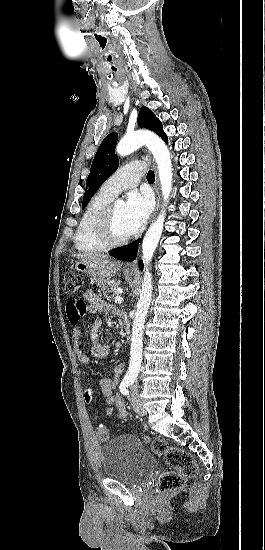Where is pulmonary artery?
<instances>
[{
  "label": "pulmonary artery",
  "instance_id": "pulmonary-artery-1",
  "mask_svg": "<svg viewBox=\"0 0 265 550\" xmlns=\"http://www.w3.org/2000/svg\"><path fill=\"white\" fill-rule=\"evenodd\" d=\"M145 171L143 161H133L120 167L110 178L102 185V190L112 197L128 188L137 186Z\"/></svg>",
  "mask_w": 265,
  "mask_h": 550
}]
</instances>
